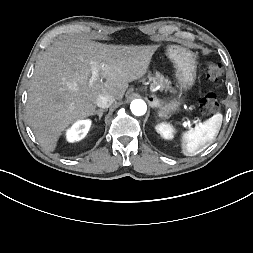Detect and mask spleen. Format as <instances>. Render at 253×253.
<instances>
[{
  "label": "spleen",
  "mask_w": 253,
  "mask_h": 253,
  "mask_svg": "<svg viewBox=\"0 0 253 253\" xmlns=\"http://www.w3.org/2000/svg\"><path fill=\"white\" fill-rule=\"evenodd\" d=\"M223 116L220 113L196 126L182 135V153L186 156H194L200 153L207 143H210L219 133Z\"/></svg>",
  "instance_id": "1"
}]
</instances>
